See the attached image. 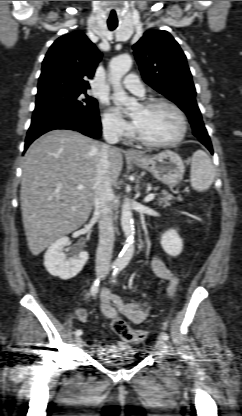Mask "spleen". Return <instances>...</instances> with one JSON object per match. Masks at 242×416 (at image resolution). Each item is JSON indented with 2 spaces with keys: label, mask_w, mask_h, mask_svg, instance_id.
I'll return each instance as SVG.
<instances>
[{
  "label": "spleen",
  "mask_w": 242,
  "mask_h": 416,
  "mask_svg": "<svg viewBox=\"0 0 242 416\" xmlns=\"http://www.w3.org/2000/svg\"><path fill=\"white\" fill-rule=\"evenodd\" d=\"M215 169L210 157L203 150H197L191 157V187L204 191L214 182Z\"/></svg>",
  "instance_id": "3e777b00"
}]
</instances>
